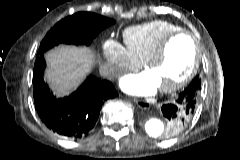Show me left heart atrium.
<instances>
[{
    "label": "left heart atrium",
    "mask_w": 240,
    "mask_h": 160,
    "mask_svg": "<svg viewBox=\"0 0 240 160\" xmlns=\"http://www.w3.org/2000/svg\"><path fill=\"white\" fill-rule=\"evenodd\" d=\"M120 86L125 92L133 95H150L157 89V85L146 72L123 77Z\"/></svg>",
    "instance_id": "obj_1"
}]
</instances>
